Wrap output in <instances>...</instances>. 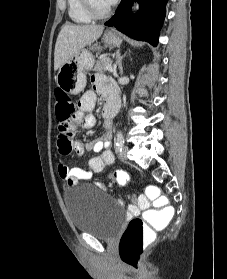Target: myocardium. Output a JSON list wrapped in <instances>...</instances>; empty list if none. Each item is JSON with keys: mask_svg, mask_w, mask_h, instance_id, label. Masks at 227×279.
Here are the masks:
<instances>
[{"mask_svg": "<svg viewBox=\"0 0 227 279\" xmlns=\"http://www.w3.org/2000/svg\"><path fill=\"white\" fill-rule=\"evenodd\" d=\"M83 8L93 19H103L110 15L113 5L111 4L105 11L99 12L92 4V0H81Z\"/></svg>", "mask_w": 227, "mask_h": 279, "instance_id": "obj_1", "label": "myocardium"}]
</instances>
